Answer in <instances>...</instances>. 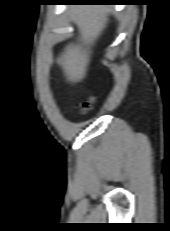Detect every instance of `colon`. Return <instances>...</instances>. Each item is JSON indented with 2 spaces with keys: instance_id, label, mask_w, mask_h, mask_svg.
I'll list each match as a JSON object with an SVG mask.
<instances>
[{
  "instance_id": "5ec220e1",
  "label": "colon",
  "mask_w": 170,
  "mask_h": 231,
  "mask_svg": "<svg viewBox=\"0 0 170 231\" xmlns=\"http://www.w3.org/2000/svg\"><path fill=\"white\" fill-rule=\"evenodd\" d=\"M93 102H94L93 98H90L89 100L84 102V104H83L84 113L88 112L91 109Z\"/></svg>"
}]
</instances>
